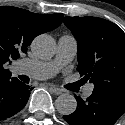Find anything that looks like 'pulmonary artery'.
<instances>
[{"instance_id":"e3ab8cb5","label":"pulmonary artery","mask_w":125,"mask_h":125,"mask_svg":"<svg viewBox=\"0 0 125 125\" xmlns=\"http://www.w3.org/2000/svg\"><path fill=\"white\" fill-rule=\"evenodd\" d=\"M77 41L72 35H62L58 39L56 55L51 60L22 59L20 66L27 68L26 74L32 78L43 80L55 75L58 70L72 61L77 53ZM93 86L86 87L84 94L90 96Z\"/></svg>"}]
</instances>
